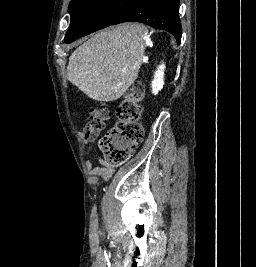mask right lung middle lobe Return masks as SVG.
Returning <instances> with one entry per match:
<instances>
[{
  "label": "right lung middle lobe",
  "instance_id": "right-lung-middle-lobe-1",
  "mask_svg": "<svg viewBox=\"0 0 256 267\" xmlns=\"http://www.w3.org/2000/svg\"><path fill=\"white\" fill-rule=\"evenodd\" d=\"M138 0H72L69 30L65 43L88 35L111 25L127 12Z\"/></svg>",
  "mask_w": 256,
  "mask_h": 267
}]
</instances>
